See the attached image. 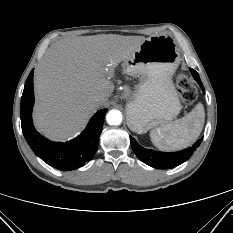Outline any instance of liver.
<instances>
[{"label": "liver", "instance_id": "liver-1", "mask_svg": "<svg viewBox=\"0 0 233 233\" xmlns=\"http://www.w3.org/2000/svg\"><path fill=\"white\" fill-rule=\"evenodd\" d=\"M144 36L99 34L53 43L34 71L37 130L53 140L76 136L114 91L109 76ZM97 95L103 98L96 100Z\"/></svg>", "mask_w": 233, "mask_h": 233}]
</instances>
